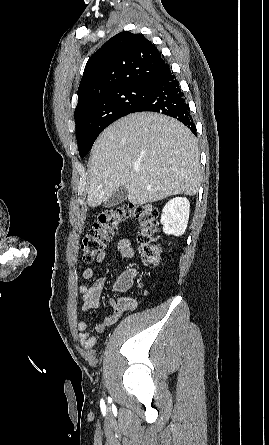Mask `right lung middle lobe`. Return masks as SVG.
Segmentation results:
<instances>
[{
    "label": "right lung middle lobe",
    "instance_id": "right-lung-middle-lobe-1",
    "mask_svg": "<svg viewBox=\"0 0 269 445\" xmlns=\"http://www.w3.org/2000/svg\"><path fill=\"white\" fill-rule=\"evenodd\" d=\"M149 92V85H127L84 103L75 111L76 138L80 157L92 148L98 135L117 119L128 115Z\"/></svg>",
    "mask_w": 269,
    "mask_h": 445
}]
</instances>
